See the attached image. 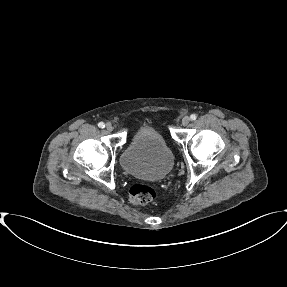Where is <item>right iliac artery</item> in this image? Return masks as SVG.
I'll return each instance as SVG.
<instances>
[{"instance_id": "right-iliac-artery-1", "label": "right iliac artery", "mask_w": 287, "mask_h": 287, "mask_svg": "<svg viewBox=\"0 0 287 287\" xmlns=\"http://www.w3.org/2000/svg\"><path fill=\"white\" fill-rule=\"evenodd\" d=\"M98 126H99V128H104V127H105V124H104L103 122H99V123H98Z\"/></svg>"}]
</instances>
